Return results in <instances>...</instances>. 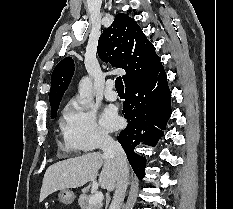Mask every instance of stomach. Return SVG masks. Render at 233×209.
I'll return each mask as SVG.
<instances>
[{"mask_svg":"<svg viewBox=\"0 0 233 209\" xmlns=\"http://www.w3.org/2000/svg\"><path fill=\"white\" fill-rule=\"evenodd\" d=\"M58 199L61 203L65 204V205H70L75 200V194L68 189L61 190L58 193Z\"/></svg>","mask_w":233,"mask_h":209,"instance_id":"0dacf381","label":"stomach"}]
</instances>
